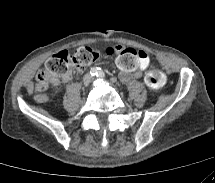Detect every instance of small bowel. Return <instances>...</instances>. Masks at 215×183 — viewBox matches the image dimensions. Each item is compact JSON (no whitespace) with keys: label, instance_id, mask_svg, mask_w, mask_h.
Instances as JSON below:
<instances>
[{"label":"small bowel","instance_id":"1","mask_svg":"<svg viewBox=\"0 0 215 183\" xmlns=\"http://www.w3.org/2000/svg\"><path fill=\"white\" fill-rule=\"evenodd\" d=\"M115 49L118 52L116 61L120 69L119 78L122 81H128L132 77L140 78L142 74L150 69L152 60L146 50L131 46L123 47L122 45H116ZM72 78V70L59 79L45 78L42 70L36 75L35 83L30 90L34 91V99L39 103H43L48 100V96L44 92L49 85L57 86L60 83H68Z\"/></svg>","mask_w":215,"mask_h":183}]
</instances>
